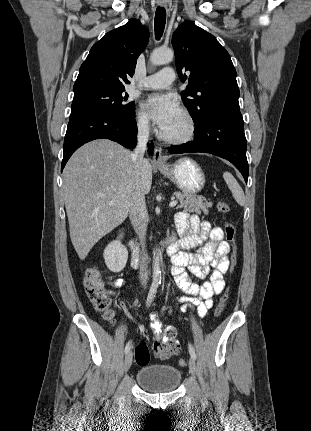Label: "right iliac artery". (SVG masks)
<instances>
[{"label": "right iliac artery", "mask_w": 311, "mask_h": 431, "mask_svg": "<svg viewBox=\"0 0 311 431\" xmlns=\"http://www.w3.org/2000/svg\"><path fill=\"white\" fill-rule=\"evenodd\" d=\"M158 284L153 283L150 287V291L148 293L147 297V305L152 301V299L155 297L156 291H157ZM131 349V341H129L125 346V353L127 354Z\"/></svg>", "instance_id": "82829eb1"}]
</instances>
